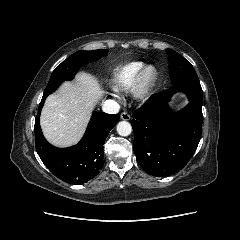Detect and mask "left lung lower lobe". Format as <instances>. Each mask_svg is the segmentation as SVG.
Returning <instances> with one entry per match:
<instances>
[{
  "mask_svg": "<svg viewBox=\"0 0 240 240\" xmlns=\"http://www.w3.org/2000/svg\"><path fill=\"white\" fill-rule=\"evenodd\" d=\"M184 92L189 104L177 118L167 107L171 96ZM203 91L200 83H177L151 98L132 116L137 162L150 175L165 177L180 171L201 138Z\"/></svg>",
  "mask_w": 240,
  "mask_h": 240,
  "instance_id": "left-lung-lower-lobe-1",
  "label": "left lung lower lobe"
}]
</instances>
